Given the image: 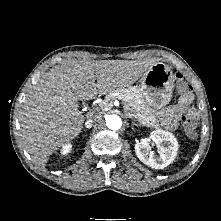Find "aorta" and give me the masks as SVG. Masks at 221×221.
Listing matches in <instances>:
<instances>
[{"instance_id": "aorta-1", "label": "aorta", "mask_w": 221, "mask_h": 221, "mask_svg": "<svg viewBox=\"0 0 221 221\" xmlns=\"http://www.w3.org/2000/svg\"><path fill=\"white\" fill-rule=\"evenodd\" d=\"M106 125L111 130H118L122 126V119L118 115H109L106 117Z\"/></svg>"}]
</instances>
